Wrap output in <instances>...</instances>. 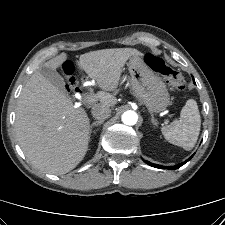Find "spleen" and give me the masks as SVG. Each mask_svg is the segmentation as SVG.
<instances>
[{
	"instance_id": "1",
	"label": "spleen",
	"mask_w": 225,
	"mask_h": 225,
	"mask_svg": "<svg viewBox=\"0 0 225 225\" xmlns=\"http://www.w3.org/2000/svg\"><path fill=\"white\" fill-rule=\"evenodd\" d=\"M201 118L197 103L189 99L182 108L180 117L161 128L164 138L171 144L191 150L198 139Z\"/></svg>"
}]
</instances>
